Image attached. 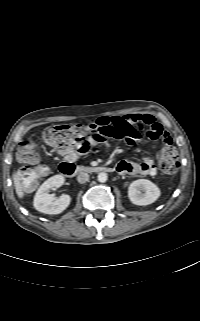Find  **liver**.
<instances>
[{
	"label": "liver",
	"mask_w": 200,
	"mask_h": 321,
	"mask_svg": "<svg viewBox=\"0 0 200 321\" xmlns=\"http://www.w3.org/2000/svg\"><path fill=\"white\" fill-rule=\"evenodd\" d=\"M20 180H21L20 176L17 173H14L13 174V182H14L16 194L18 195V197L20 199H22L24 197V192H23V187H22Z\"/></svg>",
	"instance_id": "liver-1"
}]
</instances>
